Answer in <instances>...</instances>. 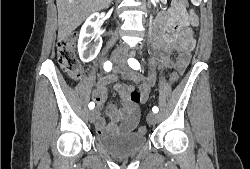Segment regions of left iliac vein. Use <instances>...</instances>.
<instances>
[{
  "mask_svg": "<svg viewBox=\"0 0 250 169\" xmlns=\"http://www.w3.org/2000/svg\"><path fill=\"white\" fill-rule=\"evenodd\" d=\"M119 65H120V67L122 68V70H123L124 72L128 73V72L130 71V68L128 67L127 63L124 62L123 60H121V61L119 62ZM157 120H158L157 114L151 112V113H149V114L147 115V121H148V123H150V124H155V123L157 122Z\"/></svg>",
  "mask_w": 250,
  "mask_h": 169,
  "instance_id": "left-iliac-vein-1",
  "label": "left iliac vein"
}]
</instances>
